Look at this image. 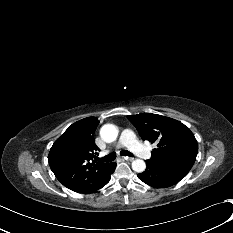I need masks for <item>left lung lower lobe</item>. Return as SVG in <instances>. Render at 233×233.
I'll return each mask as SVG.
<instances>
[{"label": "left lung lower lobe", "mask_w": 233, "mask_h": 233, "mask_svg": "<svg viewBox=\"0 0 233 233\" xmlns=\"http://www.w3.org/2000/svg\"><path fill=\"white\" fill-rule=\"evenodd\" d=\"M146 170L138 174V178L147 185L154 188H166L178 183L181 178H178L152 163L146 161Z\"/></svg>", "instance_id": "obj_1"}]
</instances>
